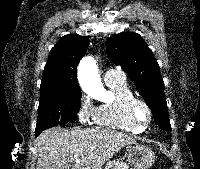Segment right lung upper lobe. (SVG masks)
<instances>
[{
    "label": "right lung upper lobe",
    "instance_id": "1",
    "mask_svg": "<svg viewBox=\"0 0 200 169\" xmlns=\"http://www.w3.org/2000/svg\"><path fill=\"white\" fill-rule=\"evenodd\" d=\"M88 37L69 34L51 49L43 72L41 96H58L81 92L77 82V65L88 47Z\"/></svg>",
    "mask_w": 200,
    "mask_h": 169
}]
</instances>
